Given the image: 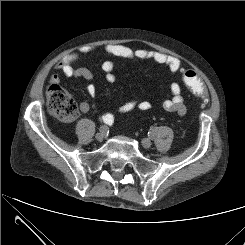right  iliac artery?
I'll use <instances>...</instances> for the list:
<instances>
[{"label": "right iliac artery", "instance_id": "82829eb1", "mask_svg": "<svg viewBox=\"0 0 245 245\" xmlns=\"http://www.w3.org/2000/svg\"><path fill=\"white\" fill-rule=\"evenodd\" d=\"M104 122L108 125H111L113 123V116H109V119L104 120ZM100 132L107 134L109 132V128L106 125H103L100 127Z\"/></svg>", "mask_w": 245, "mask_h": 245}]
</instances>
